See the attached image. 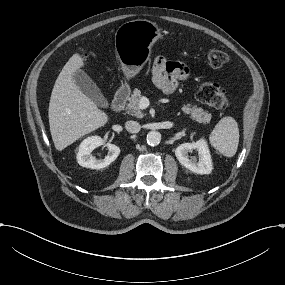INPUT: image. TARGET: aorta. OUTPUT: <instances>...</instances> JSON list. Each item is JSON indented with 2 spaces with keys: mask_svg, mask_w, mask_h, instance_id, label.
Returning <instances> with one entry per match:
<instances>
[{
  "mask_svg": "<svg viewBox=\"0 0 285 285\" xmlns=\"http://www.w3.org/2000/svg\"><path fill=\"white\" fill-rule=\"evenodd\" d=\"M161 141V134L158 131H150L147 134V143L151 146H156Z\"/></svg>",
  "mask_w": 285,
  "mask_h": 285,
  "instance_id": "762f6f07",
  "label": "aorta"
}]
</instances>
